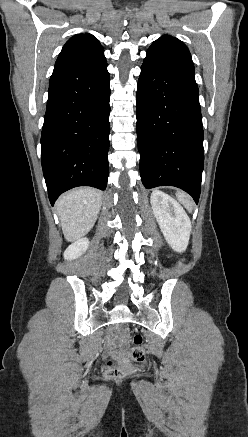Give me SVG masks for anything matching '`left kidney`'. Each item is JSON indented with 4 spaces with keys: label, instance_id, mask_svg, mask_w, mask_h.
I'll list each match as a JSON object with an SVG mask.
<instances>
[{
    "label": "left kidney",
    "instance_id": "left-kidney-1",
    "mask_svg": "<svg viewBox=\"0 0 248 437\" xmlns=\"http://www.w3.org/2000/svg\"><path fill=\"white\" fill-rule=\"evenodd\" d=\"M150 200L166 241L174 251L184 252L191 232V222L186 212L177 201L162 191H153Z\"/></svg>",
    "mask_w": 248,
    "mask_h": 437
}]
</instances>
